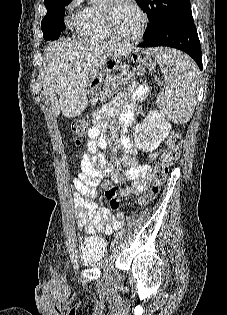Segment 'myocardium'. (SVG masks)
<instances>
[{
  "instance_id": "obj_1",
  "label": "myocardium",
  "mask_w": 227,
  "mask_h": 315,
  "mask_svg": "<svg viewBox=\"0 0 227 315\" xmlns=\"http://www.w3.org/2000/svg\"><path fill=\"white\" fill-rule=\"evenodd\" d=\"M119 3H126V4L131 5L141 17L140 30L138 34L130 40H125L119 37L113 28L112 12H113V8ZM102 15H103V23H104L105 30L107 31L110 38L114 41L121 42L127 45L136 44L142 39L147 29L148 22H149L147 13L135 0H107L106 4L102 7Z\"/></svg>"
}]
</instances>
